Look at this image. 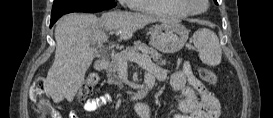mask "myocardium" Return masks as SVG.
<instances>
[{
    "label": "myocardium",
    "instance_id": "1",
    "mask_svg": "<svg viewBox=\"0 0 273 118\" xmlns=\"http://www.w3.org/2000/svg\"><path fill=\"white\" fill-rule=\"evenodd\" d=\"M178 3L190 15H199L208 9L207 0H178Z\"/></svg>",
    "mask_w": 273,
    "mask_h": 118
}]
</instances>
